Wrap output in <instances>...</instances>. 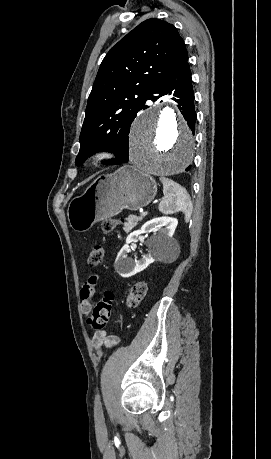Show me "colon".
<instances>
[{
    "label": "colon",
    "mask_w": 271,
    "mask_h": 459,
    "mask_svg": "<svg viewBox=\"0 0 271 459\" xmlns=\"http://www.w3.org/2000/svg\"><path fill=\"white\" fill-rule=\"evenodd\" d=\"M115 219H106L101 223V229L104 232H111L116 227ZM105 251L101 244L95 243L89 252L88 264L91 267L100 265L104 260ZM147 293V284L145 282H136L130 288L126 303L130 308H136L144 299ZM113 294L105 292L103 296L93 304L90 314L87 317V323L95 330H100L106 326L110 319L112 310Z\"/></svg>",
    "instance_id": "colon-1"
}]
</instances>
